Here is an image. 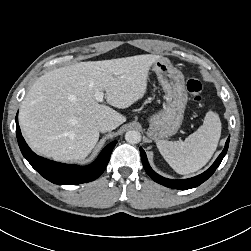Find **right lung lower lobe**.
<instances>
[{
    "label": "right lung lower lobe",
    "instance_id": "98d812e1",
    "mask_svg": "<svg viewBox=\"0 0 251 251\" xmlns=\"http://www.w3.org/2000/svg\"><path fill=\"white\" fill-rule=\"evenodd\" d=\"M16 135L20 150L30 165L45 179L60 185L81 184L98 178L105 170L111 152L117 143V141H113L108 144L93 163L87 166H78L58 163L36 155L21 135L18 115H16Z\"/></svg>",
    "mask_w": 251,
    "mask_h": 251
}]
</instances>
